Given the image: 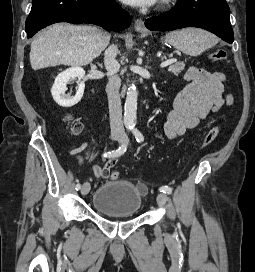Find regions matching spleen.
<instances>
[{
	"instance_id": "3e777b00",
	"label": "spleen",
	"mask_w": 255,
	"mask_h": 272,
	"mask_svg": "<svg viewBox=\"0 0 255 272\" xmlns=\"http://www.w3.org/2000/svg\"><path fill=\"white\" fill-rule=\"evenodd\" d=\"M166 41L187 55L198 56L214 46L217 39L203 29L186 28L169 32Z\"/></svg>"
}]
</instances>
